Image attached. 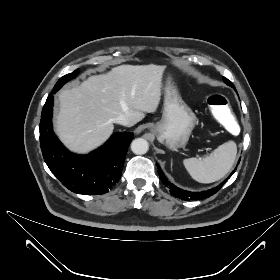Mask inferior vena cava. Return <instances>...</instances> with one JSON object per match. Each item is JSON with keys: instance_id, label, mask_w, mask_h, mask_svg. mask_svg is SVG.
<instances>
[{"instance_id": "1", "label": "inferior vena cava", "mask_w": 280, "mask_h": 280, "mask_svg": "<svg viewBox=\"0 0 280 280\" xmlns=\"http://www.w3.org/2000/svg\"><path fill=\"white\" fill-rule=\"evenodd\" d=\"M114 123L130 126V121L125 115H119L118 117L114 118Z\"/></svg>"}]
</instances>
